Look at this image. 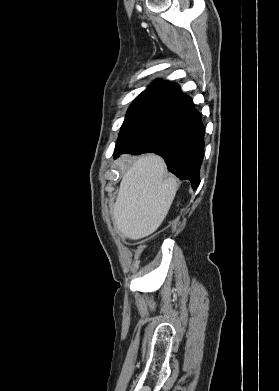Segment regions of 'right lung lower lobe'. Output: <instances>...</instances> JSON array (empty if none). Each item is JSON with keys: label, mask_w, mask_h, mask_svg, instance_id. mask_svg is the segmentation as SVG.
Masks as SVG:
<instances>
[{"label": "right lung lower lobe", "mask_w": 279, "mask_h": 391, "mask_svg": "<svg viewBox=\"0 0 279 391\" xmlns=\"http://www.w3.org/2000/svg\"><path fill=\"white\" fill-rule=\"evenodd\" d=\"M204 125L192 99L183 96L163 108L152 123L133 140L114 151L122 153H158L168 169L192 188L200 183L199 172L204 151Z\"/></svg>", "instance_id": "98d812e1"}]
</instances>
